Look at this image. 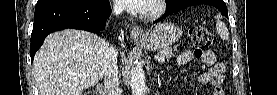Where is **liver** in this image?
I'll return each instance as SVG.
<instances>
[{
  "label": "liver",
  "instance_id": "6515ba94",
  "mask_svg": "<svg viewBox=\"0 0 277 95\" xmlns=\"http://www.w3.org/2000/svg\"><path fill=\"white\" fill-rule=\"evenodd\" d=\"M108 45L97 35L81 30L48 35L33 61L40 95H82L84 89L94 87L104 75Z\"/></svg>",
  "mask_w": 277,
  "mask_h": 95
}]
</instances>
